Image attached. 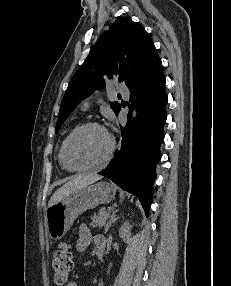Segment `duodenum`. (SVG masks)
Segmentation results:
<instances>
[{"label":"duodenum","mask_w":231,"mask_h":286,"mask_svg":"<svg viewBox=\"0 0 231 286\" xmlns=\"http://www.w3.org/2000/svg\"><path fill=\"white\" fill-rule=\"evenodd\" d=\"M104 248H105V240L104 238L100 239L97 242V247H96V254L98 258H102L104 255Z\"/></svg>","instance_id":"1"}]
</instances>
